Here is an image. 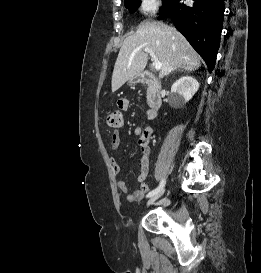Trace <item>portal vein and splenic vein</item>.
<instances>
[{
  "label": "portal vein and splenic vein",
  "instance_id": "portal-vein-and-splenic-vein-1",
  "mask_svg": "<svg viewBox=\"0 0 261 273\" xmlns=\"http://www.w3.org/2000/svg\"><path fill=\"white\" fill-rule=\"evenodd\" d=\"M139 49L140 48H138L136 51H138ZM143 51L150 54L151 60L153 61V67L156 70H160L162 68V64L160 61H158L155 53L150 48H147V47L143 48Z\"/></svg>",
  "mask_w": 261,
  "mask_h": 273
}]
</instances>
